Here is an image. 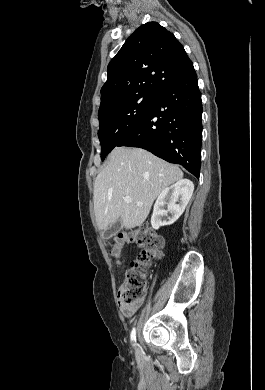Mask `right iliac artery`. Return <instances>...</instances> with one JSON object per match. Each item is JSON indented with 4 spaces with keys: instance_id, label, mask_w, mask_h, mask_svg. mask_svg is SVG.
Here are the masks:
<instances>
[{
    "instance_id": "obj_1",
    "label": "right iliac artery",
    "mask_w": 265,
    "mask_h": 390,
    "mask_svg": "<svg viewBox=\"0 0 265 390\" xmlns=\"http://www.w3.org/2000/svg\"><path fill=\"white\" fill-rule=\"evenodd\" d=\"M130 339H131L133 346H135V343H136V329L135 328H133V330L131 331Z\"/></svg>"
}]
</instances>
